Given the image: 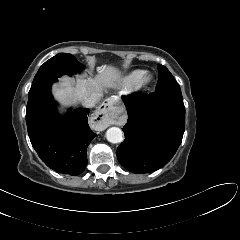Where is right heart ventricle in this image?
<instances>
[{
	"mask_svg": "<svg viewBox=\"0 0 240 240\" xmlns=\"http://www.w3.org/2000/svg\"><path fill=\"white\" fill-rule=\"evenodd\" d=\"M145 74L144 70L136 69L129 72L123 79V83L126 86H133L135 85L140 78Z\"/></svg>",
	"mask_w": 240,
	"mask_h": 240,
	"instance_id": "obj_1",
	"label": "right heart ventricle"
}]
</instances>
